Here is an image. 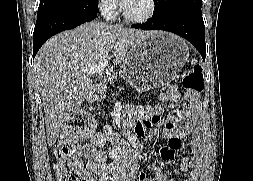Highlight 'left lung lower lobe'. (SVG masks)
I'll use <instances>...</instances> for the list:
<instances>
[{"mask_svg":"<svg viewBox=\"0 0 253 181\" xmlns=\"http://www.w3.org/2000/svg\"><path fill=\"white\" fill-rule=\"evenodd\" d=\"M132 27L143 30H164L175 33L191 42L200 52L203 60H205V28L201 9L180 8L166 15L152 17L145 23L134 24Z\"/></svg>","mask_w":253,"mask_h":181,"instance_id":"0a47b994","label":"left lung lower lobe"}]
</instances>
